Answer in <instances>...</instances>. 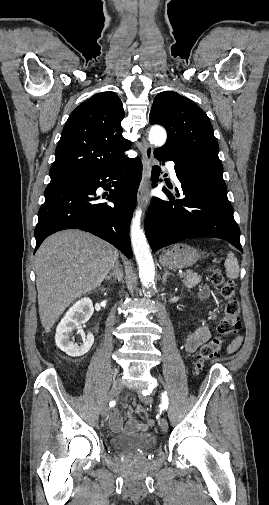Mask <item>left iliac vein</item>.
<instances>
[{
	"label": "left iliac vein",
	"mask_w": 269,
	"mask_h": 505,
	"mask_svg": "<svg viewBox=\"0 0 269 505\" xmlns=\"http://www.w3.org/2000/svg\"><path fill=\"white\" fill-rule=\"evenodd\" d=\"M143 400L146 402H151V397H149V396L143 397ZM148 405H150V404H148ZM160 428H161V431L164 433L167 432V430H168V421L164 417L160 420Z\"/></svg>",
	"instance_id": "left-iliac-vein-1"
}]
</instances>
